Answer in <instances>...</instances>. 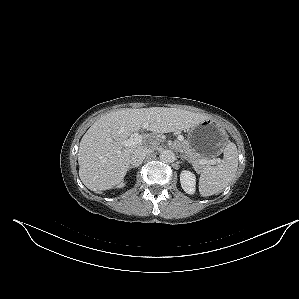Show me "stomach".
<instances>
[{
    "label": "stomach",
    "instance_id": "0dacf381",
    "mask_svg": "<svg viewBox=\"0 0 299 299\" xmlns=\"http://www.w3.org/2000/svg\"><path fill=\"white\" fill-rule=\"evenodd\" d=\"M188 142L204 159L219 156L228 144L226 131L213 119H206L188 129Z\"/></svg>",
    "mask_w": 299,
    "mask_h": 299
}]
</instances>
